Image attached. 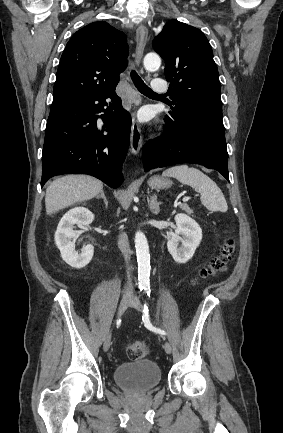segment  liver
Listing matches in <instances>:
<instances>
[{"mask_svg": "<svg viewBox=\"0 0 283 433\" xmlns=\"http://www.w3.org/2000/svg\"><path fill=\"white\" fill-rule=\"evenodd\" d=\"M103 182L86 174H67L53 180L46 188L45 206L47 214H54L60 208L89 200L99 194Z\"/></svg>", "mask_w": 283, "mask_h": 433, "instance_id": "obj_1", "label": "liver"}]
</instances>
